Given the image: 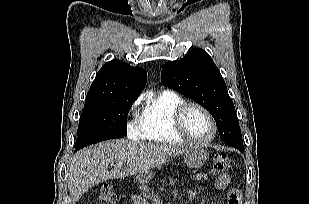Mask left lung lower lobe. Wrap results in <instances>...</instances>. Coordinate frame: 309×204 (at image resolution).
Here are the masks:
<instances>
[{
    "label": "left lung lower lobe",
    "instance_id": "obj_1",
    "mask_svg": "<svg viewBox=\"0 0 309 204\" xmlns=\"http://www.w3.org/2000/svg\"><path fill=\"white\" fill-rule=\"evenodd\" d=\"M241 151H242V152L244 151V148H243V146H241Z\"/></svg>",
    "mask_w": 309,
    "mask_h": 204
}]
</instances>
